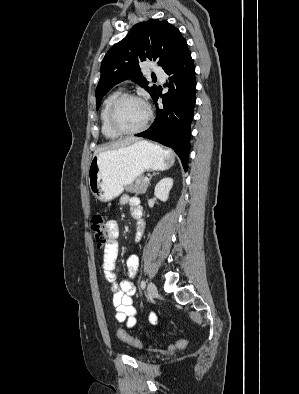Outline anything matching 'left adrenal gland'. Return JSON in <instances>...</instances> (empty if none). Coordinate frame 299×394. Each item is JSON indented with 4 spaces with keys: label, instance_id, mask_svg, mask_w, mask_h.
I'll return each instance as SVG.
<instances>
[{
    "label": "left adrenal gland",
    "instance_id": "obj_1",
    "mask_svg": "<svg viewBox=\"0 0 299 394\" xmlns=\"http://www.w3.org/2000/svg\"><path fill=\"white\" fill-rule=\"evenodd\" d=\"M157 174H158V173H153V174L150 176L149 181H148V185H150V180L152 179V177L155 176V175H157Z\"/></svg>",
    "mask_w": 299,
    "mask_h": 394
}]
</instances>
